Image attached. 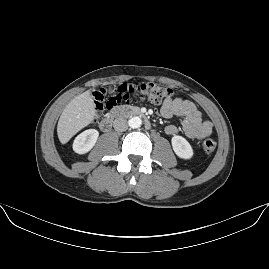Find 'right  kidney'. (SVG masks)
Listing matches in <instances>:
<instances>
[{
	"instance_id": "1",
	"label": "right kidney",
	"mask_w": 269,
	"mask_h": 269,
	"mask_svg": "<svg viewBox=\"0 0 269 269\" xmlns=\"http://www.w3.org/2000/svg\"><path fill=\"white\" fill-rule=\"evenodd\" d=\"M98 132L95 129H88L78 135L73 144V149L77 153H85L89 151L96 142Z\"/></svg>"
}]
</instances>
